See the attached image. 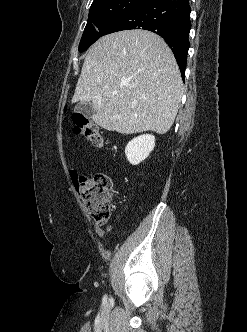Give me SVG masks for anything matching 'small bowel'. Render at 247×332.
Segmentation results:
<instances>
[{"mask_svg": "<svg viewBox=\"0 0 247 332\" xmlns=\"http://www.w3.org/2000/svg\"><path fill=\"white\" fill-rule=\"evenodd\" d=\"M74 176H75V175H73V177H74ZM97 232H98L99 234H102V233H103V231H102L101 229H98Z\"/></svg>", "mask_w": 247, "mask_h": 332, "instance_id": "c3829d8e", "label": "small bowel"}]
</instances>
